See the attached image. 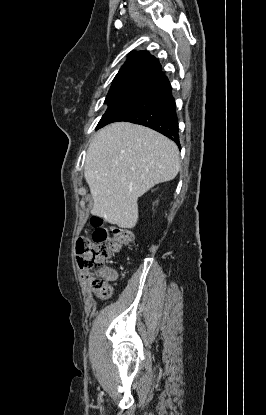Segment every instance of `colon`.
I'll use <instances>...</instances> for the list:
<instances>
[{
  "instance_id": "1",
  "label": "colon",
  "mask_w": 266,
  "mask_h": 415,
  "mask_svg": "<svg viewBox=\"0 0 266 415\" xmlns=\"http://www.w3.org/2000/svg\"><path fill=\"white\" fill-rule=\"evenodd\" d=\"M94 228L92 238H79L76 242V253L82 276L89 282L97 297L108 298L111 294L109 280L111 275L106 267L107 259L127 246L133 239L130 230L111 226L110 236L104 222L99 217L91 219Z\"/></svg>"
}]
</instances>
